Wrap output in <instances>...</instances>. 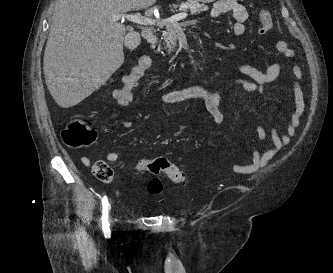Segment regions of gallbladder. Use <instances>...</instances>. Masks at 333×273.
<instances>
[{
  "instance_id": "gallbladder-1",
  "label": "gallbladder",
  "mask_w": 333,
  "mask_h": 273,
  "mask_svg": "<svg viewBox=\"0 0 333 273\" xmlns=\"http://www.w3.org/2000/svg\"><path fill=\"white\" fill-rule=\"evenodd\" d=\"M139 42H140L139 38H137V40L133 41V43H129L128 41H126L128 47L130 49L136 48L138 46Z\"/></svg>"
}]
</instances>
